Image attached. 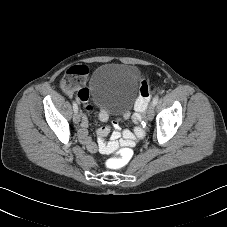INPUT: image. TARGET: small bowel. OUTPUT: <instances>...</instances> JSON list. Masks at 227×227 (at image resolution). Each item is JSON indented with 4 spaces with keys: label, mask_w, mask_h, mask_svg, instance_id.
<instances>
[{
    "label": "small bowel",
    "mask_w": 227,
    "mask_h": 227,
    "mask_svg": "<svg viewBox=\"0 0 227 227\" xmlns=\"http://www.w3.org/2000/svg\"><path fill=\"white\" fill-rule=\"evenodd\" d=\"M75 72L80 75L81 79L84 80L89 73V70L84 65H79L74 68ZM78 99L82 103H87L88 93L85 90V93L78 94ZM93 110L91 105L85 106V112L82 115V123L80 125L78 135L80 140L85 144L87 150L89 152H104L110 153L119 147H127L134 144L133 135L130 132H124V139H121V132L119 125L114 123L112 125V129L108 126L101 127L98 131L97 140L94 141L92 138L89 137L87 132L88 126V113ZM98 117L101 121L108 120L109 113L106 109H100L98 111ZM107 137H110V142H107Z\"/></svg>",
    "instance_id": "1"
}]
</instances>
